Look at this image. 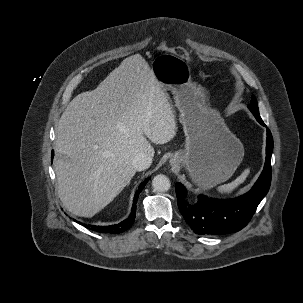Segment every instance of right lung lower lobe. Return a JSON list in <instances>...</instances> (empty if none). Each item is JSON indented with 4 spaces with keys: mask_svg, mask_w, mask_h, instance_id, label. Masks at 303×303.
I'll use <instances>...</instances> for the list:
<instances>
[{
    "mask_svg": "<svg viewBox=\"0 0 303 303\" xmlns=\"http://www.w3.org/2000/svg\"><path fill=\"white\" fill-rule=\"evenodd\" d=\"M53 156H54V153L52 152V158H53ZM148 180H149V178H147L145 181H143L140 184V186L135 194V197H134L133 206H132V210H131V214H130L129 218L120 222L119 224L110 225V226H96V225H86V224H82L76 220L75 221L77 223L85 226L86 228H89V229L94 230L99 233L119 234V233H122V232L128 230L133 225L135 217H136V203H137L136 199L138 198L140 192L142 191L143 187L146 185Z\"/></svg>",
    "mask_w": 303,
    "mask_h": 303,
    "instance_id": "obj_1",
    "label": "right lung lower lobe"
}]
</instances>
